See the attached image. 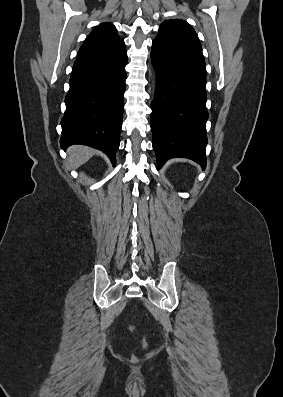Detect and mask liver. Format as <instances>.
<instances>
[{
	"instance_id": "6515ba94",
	"label": "liver",
	"mask_w": 283,
	"mask_h": 397,
	"mask_svg": "<svg viewBox=\"0 0 283 397\" xmlns=\"http://www.w3.org/2000/svg\"><path fill=\"white\" fill-rule=\"evenodd\" d=\"M67 152V161L70 169H77L85 164L95 154L94 149L83 145L71 146L68 148Z\"/></svg>"
}]
</instances>
